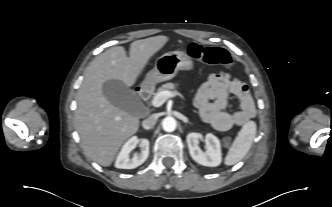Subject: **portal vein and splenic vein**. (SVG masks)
Masks as SVG:
<instances>
[{
  "instance_id": "obj_1",
  "label": "portal vein and splenic vein",
  "mask_w": 332,
  "mask_h": 207,
  "mask_svg": "<svg viewBox=\"0 0 332 207\" xmlns=\"http://www.w3.org/2000/svg\"><path fill=\"white\" fill-rule=\"evenodd\" d=\"M176 95L172 91H163L158 93L152 100V105L154 107H160L168 98H172Z\"/></svg>"
}]
</instances>
